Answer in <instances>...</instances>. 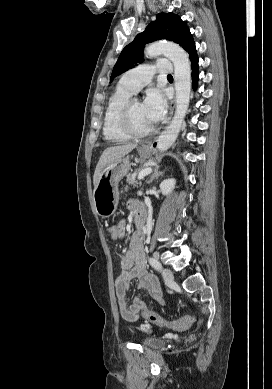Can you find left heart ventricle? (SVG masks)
Instances as JSON below:
<instances>
[{
  "label": "left heart ventricle",
  "mask_w": 272,
  "mask_h": 389,
  "mask_svg": "<svg viewBox=\"0 0 272 389\" xmlns=\"http://www.w3.org/2000/svg\"><path fill=\"white\" fill-rule=\"evenodd\" d=\"M132 122L136 130L145 131L153 126L147 117L142 103L136 101L132 107Z\"/></svg>",
  "instance_id": "b2bd125f"
}]
</instances>
